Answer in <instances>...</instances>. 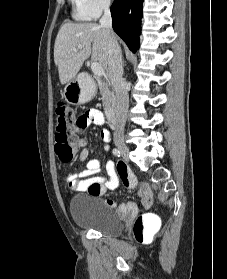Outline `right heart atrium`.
I'll use <instances>...</instances> for the list:
<instances>
[{
  "mask_svg": "<svg viewBox=\"0 0 227 279\" xmlns=\"http://www.w3.org/2000/svg\"><path fill=\"white\" fill-rule=\"evenodd\" d=\"M83 8L90 17H98L111 4V0H81Z\"/></svg>",
  "mask_w": 227,
  "mask_h": 279,
  "instance_id": "right-heart-atrium-1",
  "label": "right heart atrium"
}]
</instances>
